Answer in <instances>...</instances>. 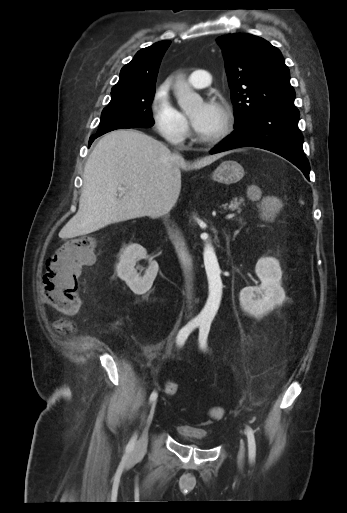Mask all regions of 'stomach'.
<instances>
[{
	"instance_id": "obj_1",
	"label": "stomach",
	"mask_w": 347,
	"mask_h": 513,
	"mask_svg": "<svg viewBox=\"0 0 347 513\" xmlns=\"http://www.w3.org/2000/svg\"><path fill=\"white\" fill-rule=\"evenodd\" d=\"M245 172L243 167L234 160L222 162L212 174V179L223 184H234L240 181Z\"/></svg>"
}]
</instances>
